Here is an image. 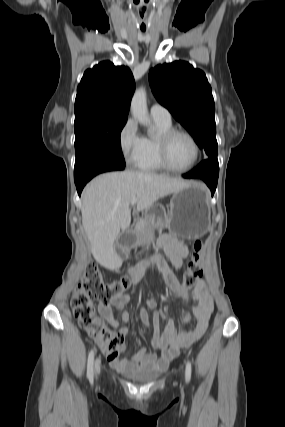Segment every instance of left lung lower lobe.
<instances>
[{
    "label": "left lung lower lobe",
    "instance_id": "left-lung-lower-lobe-1",
    "mask_svg": "<svg viewBox=\"0 0 285 427\" xmlns=\"http://www.w3.org/2000/svg\"><path fill=\"white\" fill-rule=\"evenodd\" d=\"M219 174V164L217 158L209 157L201 162L193 171L183 174L184 178H200L205 181L211 189L212 195L214 194L217 186Z\"/></svg>",
    "mask_w": 285,
    "mask_h": 427
}]
</instances>
